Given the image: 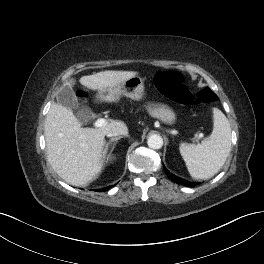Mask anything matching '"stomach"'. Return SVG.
<instances>
[{"instance_id": "1", "label": "stomach", "mask_w": 264, "mask_h": 264, "mask_svg": "<svg viewBox=\"0 0 264 264\" xmlns=\"http://www.w3.org/2000/svg\"><path fill=\"white\" fill-rule=\"evenodd\" d=\"M124 95L132 100L140 101L144 97V82L141 77L133 76L122 83L99 92V98L104 101L116 102ZM148 114L164 124H173L176 120L174 111L166 104L148 103Z\"/></svg>"}]
</instances>
